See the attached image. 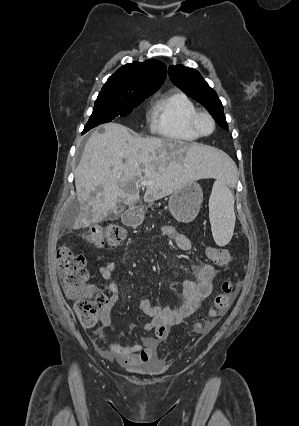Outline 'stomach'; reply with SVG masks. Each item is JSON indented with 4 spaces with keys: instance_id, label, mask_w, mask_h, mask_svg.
Here are the masks:
<instances>
[{
    "instance_id": "obj_1",
    "label": "stomach",
    "mask_w": 299,
    "mask_h": 426,
    "mask_svg": "<svg viewBox=\"0 0 299 426\" xmlns=\"http://www.w3.org/2000/svg\"><path fill=\"white\" fill-rule=\"evenodd\" d=\"M203 202V191L195 182L176 189L169 199V210L179 222L189 223L198 215Z\"/></svg>"
}]
</instances>
